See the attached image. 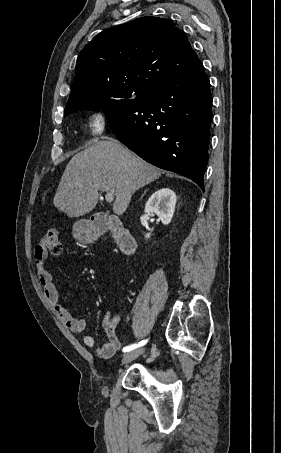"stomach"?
Instances as JSON below:
<instances>
[{
    "label": "stomach",
    "instance_id": "0dacf381",
    "mask_svg": "<svg viewBox=\"0 0 281 453\" xmlns=\"http://www.w3.org/2000/svg\"><path fill=\"white\" fill-rule=\"evenodd\" d=\"M73 237L79 243H92L94 241L95 231L89 224V220H84V222L77 220L73 224Z\"/></svg>",
    "mask_w": 281,
    "mask_h": 453
}]
</instances>
